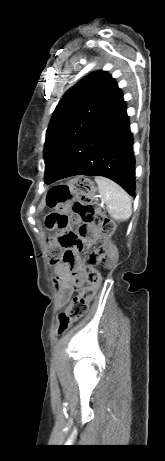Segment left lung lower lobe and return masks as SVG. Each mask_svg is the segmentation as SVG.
<instances>
[{
    "label": "left lung lower lobe",
    "instance_id": "0a47b994",
    "mask_svg": "<svg viewBox=\"0 0 165 461\" xmlns=\"http://www.w3.org/2000/svg\"><path fill=\"white\" fill-rule=\"evenodd\" d=\"M75 175L107 177L134 196L133 139L121 92L82 137L48 184Z\"/></svg>",
    "mask_w": 165,
    "mask_h": 461
}]
</instances>
